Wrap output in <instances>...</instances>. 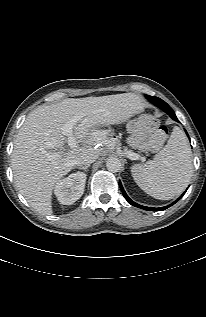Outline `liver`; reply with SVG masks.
<instances>
[{"mask_svg":"<svg viewBox=\"0 0 206 317\" xmlns=\"http://www.w3.org/2000/svg\"><path fill=\"white\" fill-rule=\"evenodd\" d=\"M143 109L140 96L123 93L68 98L33 110L19 129L12 153L13 175L19 192L38 213L51 215L55 184L74 168L79 156L88 152L98 155L92 146L105 142L101 135L91 131L98 126L123 123ZM72 119H78L73 136L88 145L66 150L67 137L61 128ZM53 154L58 156L50 159Z\"/></svg>","mask_w":206,"mask_h":317,"instance_id":"1","label":"liver"}]
</instances>
